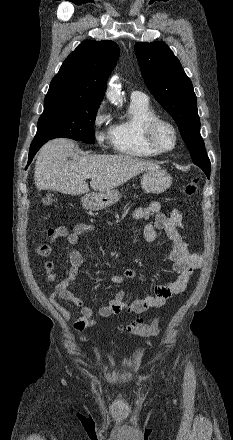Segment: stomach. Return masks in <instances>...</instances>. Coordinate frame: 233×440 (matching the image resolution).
Masks as SVG:
<instances>
[{
    "label": "stomach",
    "mask_w": 233,
    "mask_h": 440,
    "mask_svg": "<svg viewBox=\"0 0 233 440\" xmlns=\"http://www.w3.org/2000/svg\"><path fill=\"white\" fill-rule=\"evenodd\" d=\"M172 184V177L167 171L158 168L146 171L141 177V186L144 191L149 193H162ZM121 195L118 190L106 192H94L86 194L82 198L84 207L90 210H101L118 202Z\"/></svg>",
    "instance_id": "0dacf381"
}]
</instances>
